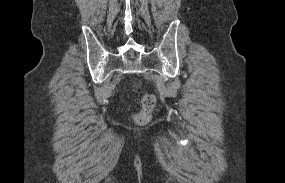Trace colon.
I'll use <instances>...</instances> for the list:
<instances>
[{
    "instance_id": "obj_1",
    "label": "colon",
    "mask_w": 285,
    "mask_h": 183,
    "mask_svg": "<svg viewBox=\"0 0 285 183\" xmlns=\"http://www.w3.org/2000/svg\"><path fill=\"white\" fill-rule=\"evenodd\" d=\"M155 97L152 94L144 95L142 108L133 115L134 122L138 125H145L150 121L151 113L155 106Z\"/></svg>"
}]
</instances>
